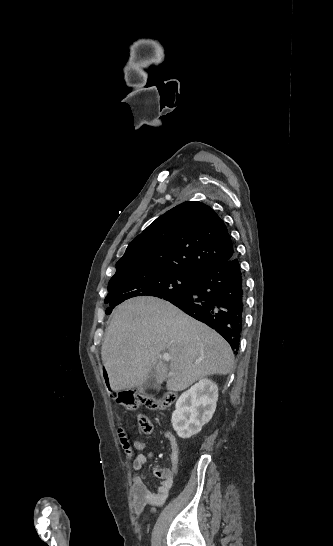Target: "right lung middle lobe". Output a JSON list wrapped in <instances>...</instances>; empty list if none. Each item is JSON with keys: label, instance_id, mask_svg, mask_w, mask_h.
<instances>
[{"label": "right lung middle lobe", "instance_id": "1", "mask_svg": "<svg viewBox=\"0 0 333 546\" xmlns=\"http://www.w3.org/2000/svg\"><path fill=\"white\" fill-rule=\"evenodd\" d=\"M198 281V276L175 272L144 271L137 267L116 269L108 283L105 303L116 306L136 296L164 298L188 292Z\"/></svg>", "mask_w": 333, "mask_h": 546}]
</instances>
